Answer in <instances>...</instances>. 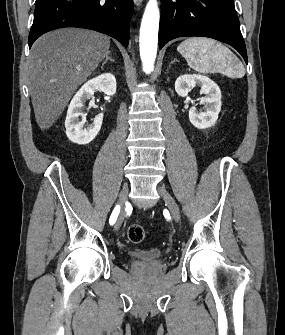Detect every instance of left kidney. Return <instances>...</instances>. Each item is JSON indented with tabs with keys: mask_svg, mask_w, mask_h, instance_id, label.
I'll return each mask as SVG.
<instances>
[{
	"mask_svg": "<svg viewBox=\"0 0 285 335\" xmlns=\"http://www.w3.org/2000/svg\"><path fill=\"white\" fill-rule=\"evenodd\" d=\"M195 86H200V94H206L205 98H200V104H204L205 108L204 112H200L195 106H192L189 110V120L195 128L206 130L214 126L218 120L221 110V92L219 86L210 78L198 76V74H192V76L184 74V76H179L175 82V90L181 98H185Z\"/></svg>",
	"mask_w": 285,
	"mask_h": 335,
	"instance_id": "5707ae66",
	"label": "left kidney"
}]
</instances>
